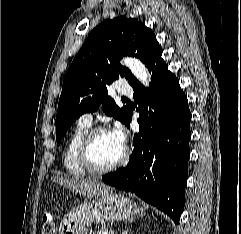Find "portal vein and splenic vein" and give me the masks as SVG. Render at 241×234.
<instances>
[{"instance_id": "obj_1", "label": "portal vein and splenic vein", "mask_w": 241, "mask_h": 234, "mask_svg": "<svg viewBox=\"0 0 241 234\" xmlns=\"http://www.w3.org/2000/svg\"><path fill=\"white\" fill-rule=\"evenodd\" d=\"M104 234H110V232H104ZM111 234H113V232H111Z\"/></svg>"}]
</instances>
